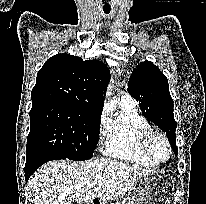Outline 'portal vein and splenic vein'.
<instances>
[{
	"instance_id": "1",
	"label": "portal vein and splenic vein",
	"mask_w": 206,
	"mask_h": 204,
	"mask_svg": "<svg viewBox=\"0 0 206 204\" xmlns=\"http://www.w3.org/2000/svg\"><path fill=\"white\" fill-rule=\"evenodd\" d=\"M103 179L104 178L102 176H96L94 181L97 183L103 181Z\"/></svg>"
}]
</instances>
